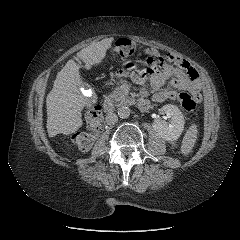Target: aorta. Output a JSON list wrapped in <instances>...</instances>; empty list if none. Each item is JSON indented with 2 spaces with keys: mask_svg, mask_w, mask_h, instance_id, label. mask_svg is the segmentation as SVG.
<instances>
[{
  "mask_svg": "<svg viewBox=\"0 0 240 240\" xmlns=\"http://www.w3.org/2000/svg\"><path fill=\"white\" fill-rule=\"evenodd\" d=\"M130 113H131L130 108L127 106H122L118 109V115L122 119L128 118L130 116Z\"/></svg>",
  "mask_w": 240,
  "mask_h": 240,
  "instance_id": "1",
  "label": "aorta"
}]
</instances>
